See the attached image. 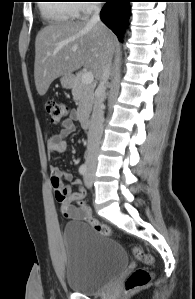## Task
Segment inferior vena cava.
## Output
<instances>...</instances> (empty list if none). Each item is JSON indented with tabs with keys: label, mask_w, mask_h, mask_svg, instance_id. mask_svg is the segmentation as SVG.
Returning <instances> with one entry per match:
<instances>
[{
	"label": "inferior vena cava",
	"mask_w": 195,
	"mask_h": 299,
	"mask_svg": "<svg viewBox=\"0 0 195 299\" xmlns=\"http://www.w3.org/2000/svg\"><path fill=\"white\" fill-rule=\"evenodd\" d=\"M93 12L91 19L88 21L89 25L100 24V7L91 5ZM111 56L103 70L100 77L99 85L96 89V98L94 102L93 112L91 116V124L88 132V144L86 154V164L88 167H96L97 159L100 150V142L103 134L104 124V106L103 102L106 98V84L111 74Z\"/></svg>",
	"instance_id": "1"
}]
</instances>
